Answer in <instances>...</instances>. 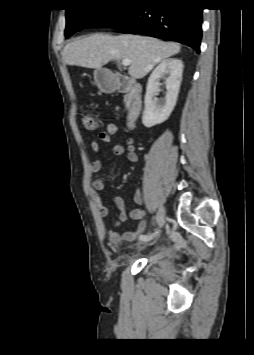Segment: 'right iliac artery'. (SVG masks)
Here are the masks:
<instances>
[{"label": "right iliac artery", "instance_id": "82829eb1", "mask_svg": "<svg viewBox=\"0 0 254 355\" xmlns=\"http://www.w3.org/2000/svg\"><path fill=\"white\" fill-rule=\"evenodd\" d=\"M158 233L157 229L153 230L149 235H140L139 239L141 241H149Z\"/></svg>", "mask_w": 254, "mask_h": 355}]
</instances>
